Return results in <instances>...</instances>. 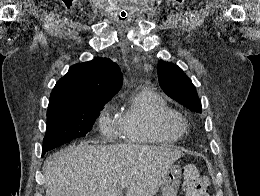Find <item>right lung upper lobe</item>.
Listing matches in <instances>:
<instances>
[{
  "mask_svg": "<svg viewBox=\"0 0 260 196\" xmlns=\"http://www.w3.org/2000/svg\"><path fill=\"white\" fill-rule=\"evenodd\" d=\"M122 81L118 65L108 58L75 64L56 83L49 106L109 101L119 91Z\"/></svg>",
  "mask_w": 260,
  "mask_h": 196,
  "instance_id": "right-lung-upper-lobe-1",
  "label": "right lung upper lobe"
}]
</instances>
